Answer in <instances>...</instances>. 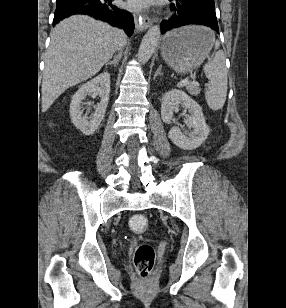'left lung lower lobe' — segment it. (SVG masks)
<instances>
[{
    "label": "left lung lower lobe",
    "instance_id": "left-lung-lower-lobe-1",
    "mask_svg": "<svg viewBox=\"0 0 286 308\" xmlns=\"http://www.w3.org/2000/svg\"><path fill=\"white\" fill-rule=\"evenodd\" d=\"M171 9L176 11L169 20L161 24V31L168 30L189 24H200L208 26L217 33L218 23L215 14L214 0H170Z\"/></svg>",
    "mask_w": 286,
    "mask_h": 308
}]
</instances>
